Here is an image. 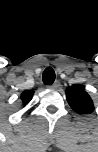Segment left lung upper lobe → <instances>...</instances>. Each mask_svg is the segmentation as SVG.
I'll use <instances>...</instances> for the list:
<instances>
[{
    "label": "left lung upper lobe",
    "mask_w": 98,
    "mask_h": 152,
    "mask_svg": "<svg viewBox=\"0 0 98 152\" xmlns=\"http://www.w3.org/2000/svg\"><path fill=\"white\" fill-rule=\"evenodd\" d=\"M65 93L69 105L75 112L79 114H90L94 111L93 101L85 91L83 85L75 84L69 86Z\"/></svg>",
    "instance_id": "left-lung-upper-lobe-1"
}]
</instances>
